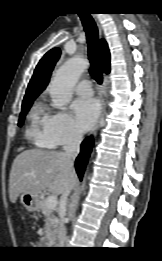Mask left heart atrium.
Masks as SVG:
<instances>
[{
    "mask_svg": "<svg viewBox=\"0 0 162 261\" xmlns=\"http://www.w3.org/2000/svg\"><path fill=\"white\" fill-rule=\"evenodd\" d=\"M74 120L80 131L89 130L96 121L99 106L93 98H79L72 104Z\"/></svg>",
    "mask_w": 162,
    "mask_h": 261,
    "instance_id": "39dd6f15",
    "label": "left heart atrium"
}]
</instances>
